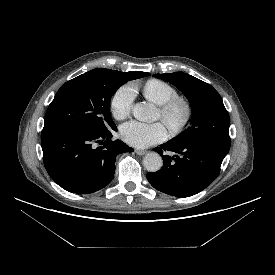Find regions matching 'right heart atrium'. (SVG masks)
Listing matches in <instances>:
<instances>
[{
	"label": "right heart atrium",
	"mask_w": 275,
	"mask_h": 275,
	"mask_svg": "<svg viewBox=\"0 0 275 275\" xmlns=\"http://www.w3.org/2000/svg\"><path fill=\"white\" fill-rule=\"evenodd\" d=\"M135 89L132 84L120 86L112 94L110 99V111L115 119L124 120L127 118L133 107Z\"/></svg>",
	"instance_id": "right-heart-atrium-1"
}]
</instances>
